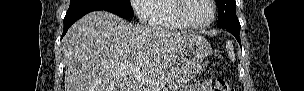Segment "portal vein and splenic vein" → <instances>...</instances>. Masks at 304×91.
Returning <instances> with one entry per match:
<instances>
[{
    "mask_svg": "<svg viewBox=\"0 0 304 91\" xmlns=\"http://www.w3.org/2000/svg\"><path fill=\"white\" fill-rule=\"evenodd\" d=\"M114 73L116 75H124V74L132 75V76H134V78L137 82H139L140 84L145 85L149 88H152L155 91H160L165 86L163 81H161L159 79H151V78L144 77L141 74L131 71L128 67H121L119 70H117ZM172 90L176 91V88L172 87Z\"/></svg>",
    "mask_w": 304,
    "mask_h": 91,
    "instance_id": "18ae733b",
    "label": "portal vein and splenic vein"
}]
</instances>
